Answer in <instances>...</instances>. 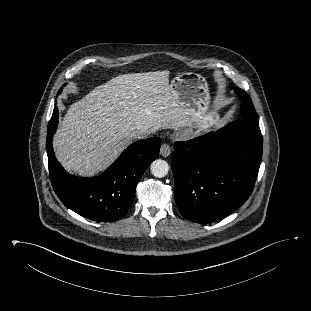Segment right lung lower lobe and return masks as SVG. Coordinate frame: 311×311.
<instances>
[{"instance_id":"1","label":"right lung lower lobe","mask_w":311,"mask_h":311,"mask_svg":"<svg viewBox=\"0 0 311 311\" xmlns=\"http://www.w3.org/2000/svg\"><path fill=\"white\" fill-rule=\"evenodd\" d=\"M58 125L55 107L47 130L49 174L53 189L62 203L94 221H116L130 209L136 184L159 155L161 139L152 137L130 145L102 174L82 178L68 174L54 155L53 134Z\"/></svg>"}]
</instances>
